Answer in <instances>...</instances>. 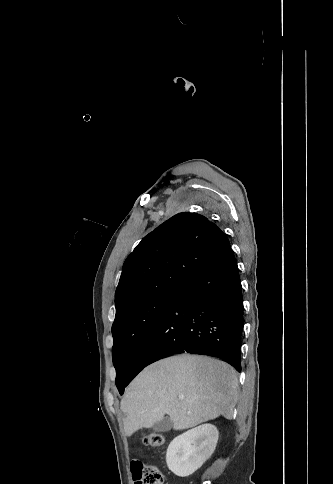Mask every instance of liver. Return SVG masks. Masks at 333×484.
I'll return each mask as SVG.
<instances>
[{
	"instance_id": "1",
	"label": "liver",
	"mask_w": 333,
	"mask_h": 484,
	"mask_svg": "<svg viewBox=\"0 0 333 484\" xmlns=\"http://www.w3.org/2000/svg\"><path fill=\"white\" fill-rule=\"evenodd\" d=\"M236 370L205 356L184 354L146 367L126 388L121 410L131 436L169 415L175 430L194 427L220 415L234 416L238 394ZM179 396H184L182 400Z\"/></svg>"
}]
</instances>
